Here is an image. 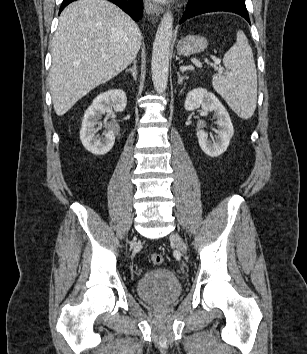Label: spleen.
I'll return each mask as SVG.
<instances>
[{"label":"spleen","instance_id":"1","mask_svg":"<svg viewBox=\"0 0 307 354\" xmlns=\"http://www.w3.org/2000/svg\"><path fill=\"white\" fill-rule=\"evenodd\" d=\"M231 76L212 77V85L229 107L242 119L252 117L257 104V71L252 49L242 31L237 32L236 43L223 57Z\"/></svg>","mask_w":307,"mask_h":354}]
</instances>
